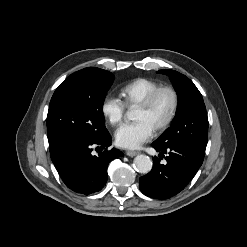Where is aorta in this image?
Listing matches in <instances>:
<instances>
[{
  "label": "aorta",
  "instance_id": "obj_1",
  "mask_svg": "<svg viewBox=\"0 0 247 247\" xmlns=\"http://www.w3.org/2000/svg\"><path fill=\"white\" fill-rule=\"evenodd\" d=\"M126 116L128 119H131L132 118L131 112H127ZM152 165L153 163L151 159L146 155H138L134 159V167L136 171H138L139 173L142 174L149 173L152 169Z\"/></svg>",
  "mask_w": 247,
  "mask_h": 247
}]
</instances>
